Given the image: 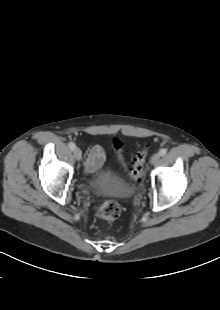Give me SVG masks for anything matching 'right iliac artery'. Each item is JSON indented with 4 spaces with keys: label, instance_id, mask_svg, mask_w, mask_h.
I'll return each mask as SVG.
<instances>
[{
    "label": "right iliac artery",
    "instance_id": "82829eb1",
    "mask_svg": "<svg viewBox=\"0 0 220 310\" xmlns=\"http://www.w3.org/2000/svg\"><path fill=\"white\" fill-rule=\"evenodd\" d=\"M68 146L71 150H74L76 148V146L73 142H69Z\"/></svg>",
    "mask_w": 220,
    "mask_h": 310
}]
</instances>
